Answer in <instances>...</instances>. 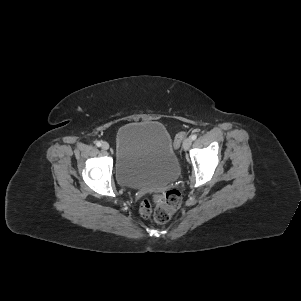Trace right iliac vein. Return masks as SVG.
I'll use <instances>...</instances> for the list:
<instances>
[{
  "label": "right iliac vein",
  "mask_w": 301,
  "mask_h": 301,
  "mask_svg": "<svg viewBox=\"0 0 301 301\" xmlns=\"http://www.w3.org/2000/svg\"><path fill=\"white\" fill-rule=\"evenodd\" d=\"M103 150H108L109 149V144L107 142H103L101 145Z\"/></svg>",
  "instance_id": "1"
}]
</instances>
